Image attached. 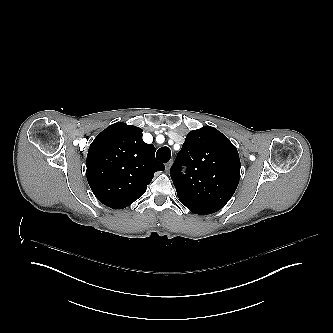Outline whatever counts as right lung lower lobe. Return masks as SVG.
<instances>
[{"label": "right lung lower lobe", "mask_w": 333, "mask_h": 333, "mask_svg": "<svg viewBox=\"0 0 333 333\" xmlns=\"http://www.w3.org/2000/svg\"><path fill=\"white\" fill-rule=\"evenodd\" d=\"M136 200H137V199H136ZM134 201H135V200H134ZM134 201H132V202H131V203H129L128 205L132 204ZM128 205H127V206H128ZM127 206H126V207H127Z\"/></svg>", "instance_id": "98d812e1"}]
</instances>
